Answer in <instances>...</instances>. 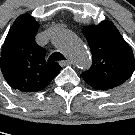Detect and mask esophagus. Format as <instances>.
<instances>
[{"label":"esophagus","instance_id":"1","mask_svg":"<svg viewBox=\"0 0 135 135\" xmlns=\"http://www.w3.org/2000/svg\"><path fill=\"white\" fill-rule=\"evenodd\" d=\"M72 63V61L70 60V59H66L65 61H60L59 62V64L61 65V66H66V65H69V64H71Z\"/></svg>","mask_w":135,"mask_h":135}]
</instances>
